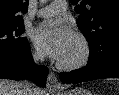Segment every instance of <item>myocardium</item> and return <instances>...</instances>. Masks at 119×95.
Segmentation results:
<instances>
[{
  "label": "myocardium",
  "instance_id": "myocardium-1",
  "mask_svg": "<svg viewBox=\"0 0 119 95\" xmlns=\"http://www.w3.org/2000/svg\"><path fill=\"white\" fill-rule=\"evenodd\" d=\"M74 38L79 42L81 46V54L76 60L70 62H64L59 60L57 62V66L60 69L68 71L77 70L84 67L90 60L91 46L88 39L83 34L80 33H75Z\"/></svg>",
  "mask_w": 119,
  "mask_h": 95
}]
</instances>
